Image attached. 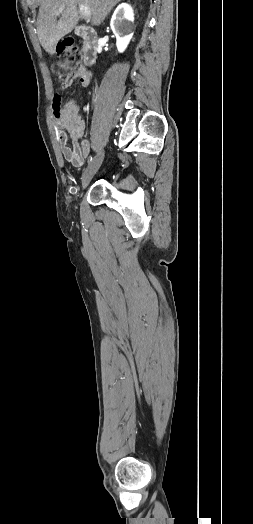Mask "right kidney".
I'll return each mask as SVG.
<instances>
[{"label": "right kidney", "instance_id": "obj_1", "mask_svg": "<svg viewBox=\"0 0 253 524\" xmlns=\"http://www.w3.org/2000/svg\"><path fill=\"white\" fill-rule=\"evenodd\" d=\"M134 14L130 5L123 3L113 13L110 26L116 35V46L119 52H123L129 44L132 34L127 35L129 27L127 22H133Z\"/></svg>", "mask_w": 253, "mask_h": 524}]
</instances>
